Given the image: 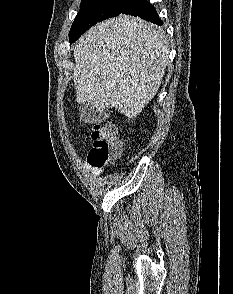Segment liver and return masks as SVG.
<instances>
[{"label":"liver","instance_id":"obj_1","mask_svg":"<svg viewBox=\"0 0 233 294\" xmlns=\"http://www.w3.org/2000/svg\"><path fill=\"white\" fill-rule=\"evenodd\" d=\"M73 55L77 103L98 111L116 108L128 118L154 98L169 61L163 32L123 14L89 29Z\"/></svg>","mask_w":233,"mask_h":294}]
</instances>
